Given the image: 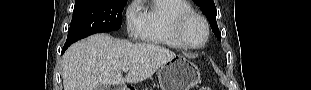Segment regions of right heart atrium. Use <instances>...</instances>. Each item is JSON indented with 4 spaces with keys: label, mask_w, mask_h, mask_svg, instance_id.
Listing matches in <instances>:
<instances>
[{
    "label": "right heart atrium",
    "mask_w": 311,
    "mask_h": 90,
    "mask_svg": "<svg viewBox=\"0 0 311 90\" xmlns=\"http://www.w3.org/2000/svg\"><path fill=\"white\" fill-rule=\"evenodd\" d=\"M140 0L132 1L125 11L126 29L130 38L141 36L143 28V13L139 10Z\"/></svg>",
    "instance_id": "right-heart-atrium-1"
}]
</instances>
